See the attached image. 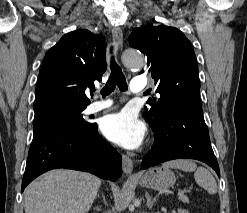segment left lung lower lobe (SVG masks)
Returning a JSON list of instances; mask_svg holds the SVG:
<instances>
[{
    "label": "left lung lower lobe",
    "instance_id": "obj_1",
    "mask_svg": "<svg viewBox=\"0 0 247 213\" xmlns=\"http://www.w3.org/2000/svg\"><path fill=\"white\" fill-rule=\"evenodd\" d=\"M152 130L156 139L142 161L143 169L174 159H196L208 164L220 177L202 113L174 105L160 125Z\"/></svg>",
    "mask_w": 247,
    "mask_h": 213
}]
</instances>
